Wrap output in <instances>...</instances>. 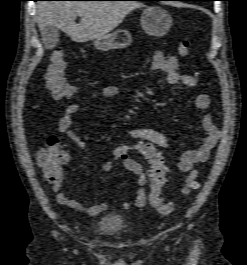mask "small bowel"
Here are the masks:
<instances>
[{"mask_svg": "<svg viewBox=\"0 0 247 265\" xmlns=\"http://www.w3.org/2000/svg\"><path fill=\"white\" fill-rule=\"evenodd\" d=\"M151 68L155 72L164 73L166 81L170 85H183L186 87H195L197 79L190 74L182 73L179 69V61L176 56L165 54L161 51L154 53ZM148 94H153L152 88H147ZM120 89L116 85H107L99 90L93 92V96H102L105 98H112L118 96ZM193 104L196 108L201 110H209L211 107V98L209 95L201 93L197 94L193 99ZM79 103H73L66 108L65 114L60 118L58 123L59 133L67 140L75 143L78 148H83L87 142V137L80 135L72 129L71 116L80 110ZM202 126L205 131L200 145L194 150L185 151L176 164V168L180 172H189L194 165L205 162L220 139V130L213 122L211 113H207L202 119ZM131 138L138 140V143H150L155 147L168 148L169 139L163 133L146 127H133L128 131ZM45 149L50 152H58L63 156V165L56 169H49L42 163L40 157L37 155V162L43 168L45 177L52 187V190L57 194V201L64 206H67L75 211L85 213L89 216H97L105 212L108 208L107 203L99 202L90 206H86L83 201L70 198L67 194L61 191L64 181L63 166L70 162V154L62 149L60 139L51 135L46 139ZM124 168L133 174L136 178L138 189L136 191V198L134 204L142 208L147 203V193L145 185L147 183V176L145 170L140 162L135 159L127 158L123 162ZM112 168V162H105L100 170L107 172ZM133 202L125 200L122 203L124 209L131 208Z\"/></svg>", "mask_w": 247, "mask_h": 265, "instance_id": "obj_1", "label": "small bowel"}]
</instances>
